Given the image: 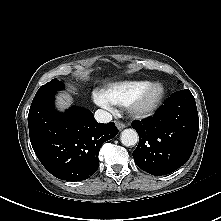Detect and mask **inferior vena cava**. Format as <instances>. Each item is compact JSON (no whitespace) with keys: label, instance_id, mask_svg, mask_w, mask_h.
<instances>
[{"label":"inferior vena cava","instance_id":"602c4592","mask_svg":"<svg viewBox=\"0 0 221 221\" xmlns=\"http://www.w3.org/2000/svg\"><path fill=\"white\" fill-rule=\"evenodd\" d=\"M94 116H95V119L100 123H108L112 121V115L109 112L102 110V109H98L95 112Z\"/></svg>","mask_w":221,"mask_h":221}]
</instances>
